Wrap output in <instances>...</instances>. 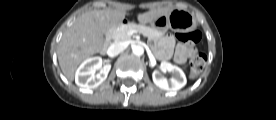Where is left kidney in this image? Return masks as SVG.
<instances>
[{
	"label": "left kidney",
	"mask_w": 276,
	"mask_h": 120,
	"mask_svg": "<svg viewBox=\"0 0 276 120\" xmlns=\"http://www.w3.org/2000/svg\"><path fill=\"white\" fill-rule=\"evenodd\" d=\"M160 67L164 71L171 72L172 77L167 79L159 71H154L152 78L156 86L168 92H176L186 85L187 80L182 69L166 61L161 62Z\"/></svg>",
	"instance_id": "5707ae66"
}]
</instances>
